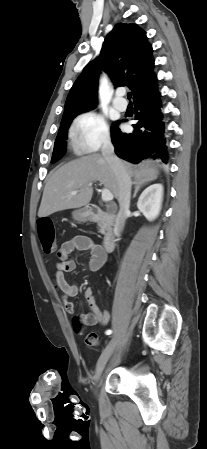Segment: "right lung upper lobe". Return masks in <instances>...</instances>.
Listing matches in <instances>:
<instances>
[{"label": "right lung upper lobe", "mask_w": 207, "mask_h": 449, "mask_svg": "<svg viewBox=\"0 0 207 449\" xmlns=\"http://www.w3.org/2000/svg\"><path fill=\"white\" fill-rule=\"evenodd\" d=\"M152 52L146 33L136 24H116L103 42L100 58L90 62L73 84L62 120L95 107L101 69L115 86L131 89L133 100L155 90L157 77Z\"/></svg>", "instance_id": "obj_1"}]
</instances>
